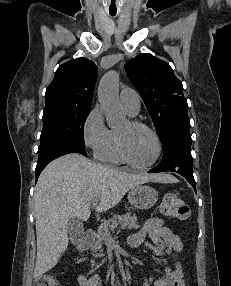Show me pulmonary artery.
<instances>
[{"label":"pulmonary artery","instance_id":"pulmonary-artery-1","mask_svg":"<svg viewBox=\"0 0 231 286\" xmlns=\"http://www.w3.org/2000/svg\"><path fill=\"white\" fill-rule=\"evenodd\" d=\"M120 103L127 113L132 116L140 110V96L133 89L125 88L120 92Z\"/></svg>","mask_w":231,"mask_h":286}]
</instances>
